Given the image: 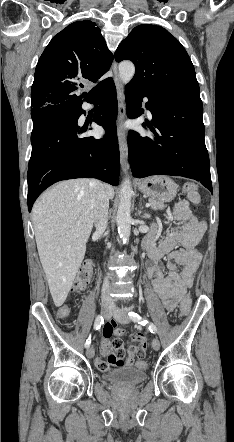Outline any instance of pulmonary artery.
<instances>
[{
    "instance_id": "pulmonary-artery-1",
    "label": "pulmonary artery",
    "mask_w": 234,
    "mask_h": 442,
    "mask_svg": "<svg viewBox=\"0 0 234 442\" xmlns=\"http://www.w3.org/2000/svg\"><path fill=\"white\" fill-rule=\"evenodd\" d=\"M146 111H147L148 116L151 117V116H152V115H151V112H150L148 109H147Z\"/></svg>"
}]
</instances>
